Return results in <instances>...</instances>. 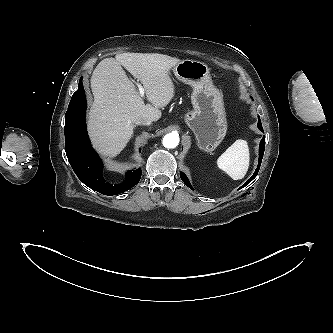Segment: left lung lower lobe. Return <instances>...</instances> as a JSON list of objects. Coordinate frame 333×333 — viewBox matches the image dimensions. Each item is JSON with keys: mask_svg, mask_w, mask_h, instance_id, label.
I'll return each instance as SVG.
<instances>
[{"mask_svg": "<svg viewBox=\"0 0 333 333\" xmlns=\"http://www.w3.org/2000/svg\"><path fill=\"white\" fill-rule=\"evenodd\" d=\"M258 128L261 130V131H263V128H262V125H261V121H260V118H259V120H258ZM264 149H265V137H263L262 138V140H261V142H260V146H259V163H258V167L256 168V171L254 172V174H253V176L242 186V187H244V186H246L248 183H250L255 177H256V175H257V173H258V170H259V167H260V165H261V161H262V158H263V154H264ZM180 177H181V179L183 180V182L189 187V188H191V189H193L192 188V186H191V184H190V182H189V180H188V178L186 177V175L184 174V173H181L180 174ZM241 187V188H242Z\"/></svg>", "mask_w": 333, "mask_h": 333, "instance_id": "obj_1", "label": "left lung lower lobe"}]
</instances>
